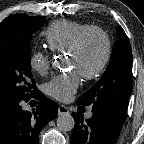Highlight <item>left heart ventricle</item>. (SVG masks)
I'll list each match as a JSON object with an SVG mask.
<instances>
[{"instance_id": "obj_1", "label": "left heart ventricle", "mask_w": 144, "mask_h": 144, "mask_svg": "<svg viewBox=\"0 0 144 144\" xmlns=\"http://www.w3.org/2000/svg\"><path fill=\"white\" fill-rule=\"evenodd\" d=\"M104 54V43L100 36L91 35L85 42L78 56L69 55L68 65L79 74L93 70L101 61Z\"/></svg>"}]
</instances>
